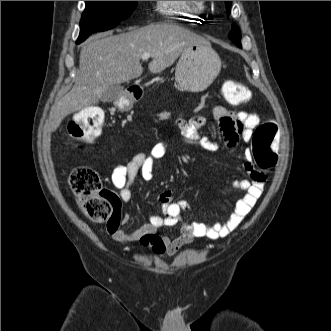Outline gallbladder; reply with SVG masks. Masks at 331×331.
<instances>
[{"label": "gallbladder", "mask_w": 331, "mask_h": 331, "mask_svg": "<svg viewBox=\"0 0 331 331\" xmlns=\"http://www.w3.org/2000/svg\"><path fill=\"white\" fill-rule=\"evenodd\" d=\"M123 87L120 84L111 85L103 94L101 95V101L111 102L123 95Z\"/></svg>", "instance_id": "obj_1"}]
</instances>
